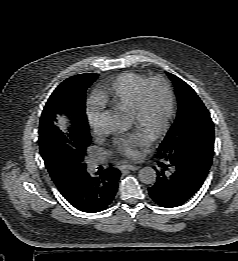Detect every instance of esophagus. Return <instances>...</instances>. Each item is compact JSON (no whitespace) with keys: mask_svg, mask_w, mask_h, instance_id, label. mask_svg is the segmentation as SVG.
<instances>
[{"mask_svg":"<svg viewBox=\"0 0 238 261\" xmlns=\"http://www.w3.org/2000/svg\"><path fill=\"white\" fill-rule=\"evenodd\" d=\"M121 169H127V170H137L138 167L137 166H134V165H130V164H124L121 166Z\"/></svg>","mask_w":238,"mask_h":261,"instance_id":"obj_1","label":"esophagus"}]
</instances>
